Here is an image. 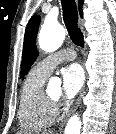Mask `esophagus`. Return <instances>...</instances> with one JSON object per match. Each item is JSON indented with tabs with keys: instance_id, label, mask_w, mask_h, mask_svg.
I'll return each mask as SVG.
<instances>
[{
	"instance_id": "34e87169",
	"label": "esophagus",
	"mask_w": 116,
	"mask_h": 134,
	"mask_svg": "<svg viewBox=\"0 0 116 134\" xmlns=\"http://www.w3.org/2000/svg\"><path fill=\"white\" fill-rule=\"evenodd\" d=\"M85 87V86H84ZM82 89V91L80 92V95L78 97V99L76 100L74 106L72 107L70 113L67 115V117L61 122L60 126H59V131H62L63 127L65 126L67 120L69 119V117L77 110L78 106L80 105L81 103V100H82V97L84 96L85 94V89Z\"/></svg>"
}]
</instances>
